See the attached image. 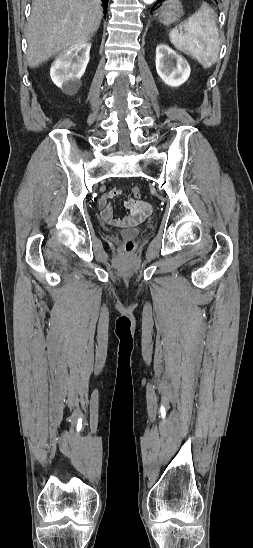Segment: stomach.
Listing matches in <instances>:
<instances>
[{
  "mask_svg": "<svg viewBox=\"0 0 253 548\" xmlns=\"http://www.w3.org/2000/svg\"><path fill=\"white\" fill-rule=\"evenodd\" d=\"M182 13V5L178 0H168L160 8L158 18L164 25H170L176 22Z\"/></svg>",
  "mask_w": 253,
  "mask_h": 548,
  "instance_id": "stomach-1",
  "label": "stomach"
}]
</instances>
